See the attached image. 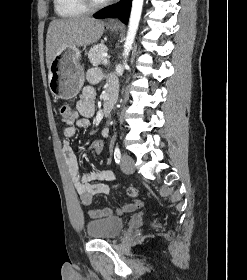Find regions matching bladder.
I'll list each match as a JSON object with an SVG mask.
<instances>
[{
	"mask_svg": "<svg viewBox=\"0 0 247 280\" xmlns=\"http://www.w3.org/2000/svg\"><path fill=\"white\" fill-rule=\"evenodd\" d=\"M124 228V221L118 217H106L88 222L87 235L91 239H114Z\"/></svg>",
	"mask_w": 247,
	"mask_h": 280,
	"instance_id": "1",
	"label": "bladder"
}]
</instances>
